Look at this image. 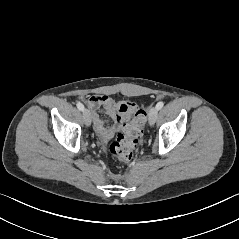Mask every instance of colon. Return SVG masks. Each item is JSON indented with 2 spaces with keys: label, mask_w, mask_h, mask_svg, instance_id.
Here are the masks:
<instances>
[{
  "label": "colon",
  "mask_w": 239,
  "mask_h": 239,
  "mask_svg": "<svg viewBox=\"0 0 239 239\" xmlns=\"http://www.w3.org/2000/svg\"><path fill=\"white\" fill-rule=\"evenodd\" d=\"M146 119V109H140L134 118L124 124L123 131L118 134L116 140L110 146L111 155L120 161H130L142 134Z\"/></svg>",
  "instance_id": "5ec220e1"
}]
</instances>
